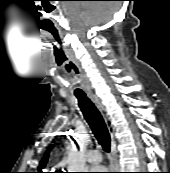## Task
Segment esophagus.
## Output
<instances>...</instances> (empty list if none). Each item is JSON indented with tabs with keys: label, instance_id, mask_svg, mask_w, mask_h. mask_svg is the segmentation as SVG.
Here are the masks:
<instances>
[{
	"label": "esophagus",
	"instance_id": "esophagus-1",
	"mask_svg": "<svg viewBox=\"0 0 170 173\" xmlns=\"http://www.w3.org/2000/svg\"><path fill=\"white\" fill-rule=\"evenodd\" d=\"M90 99L93 101V103L96 105V107L99 109V111L101 112L105 123L108 127L110 136H111V157H110V164L111 167L114 168L115 164H116V157H117V151H116V144L114 141V128L112 126L110 117L108 116L104 106L102 105V103L99 101L98 97L96 95H94L93 93H89L88 94Z\"/></svg>",
	"mask_w": 170,
	"mask_h": 173
}]
</instances>
